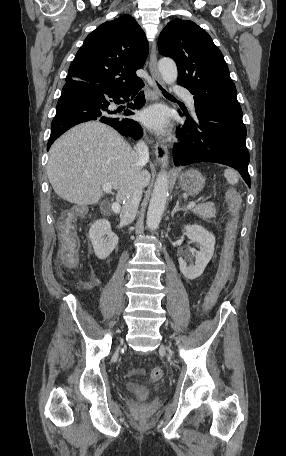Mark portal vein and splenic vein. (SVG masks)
I'll return each mask as SVG.
<instances>
[{
	"instance_id": "18ae733b",
	"label": "portal vein and splenic vein",
	"mask_w": 286,
	"mask_h": 456,
	"mask_svg": "<svg viewBox=\"0 0 286 456\" xmlns=\"http://www.w3.org/2000/svg\"><path fill=\"white\" fill-rule=\"evenodd\" d=\"M102 188H103V191H104L105 193H110L111 190H112V185H111L110 183H105V184H103ZM194 206H195V202H190V203L187 205V208H188V209H191V208H193ZM120 208H121V207H120L119 203H113V204H112V210H113L114 213H118V212L120 211Z\"/></svg>"
}]
</instances>
